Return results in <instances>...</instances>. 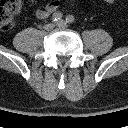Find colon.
Segmentation results:
<instances>
[{"label": "colon", "mask_w": 128, "mask_h": 128, "mask_svg": "<svg viewBox=\"0 0 128 128\" xmlns=\"http://www.w3.org/2000/svg\"><path fill=\"white\" fill-rule=\"evenodd\" d=\"M106 3H114L116 0H103ZM23 6L22 0H0V29L7 30L12 27L15 16Z\"/></svg>", "instance_id": "5ec220e1"}]
</instances>
